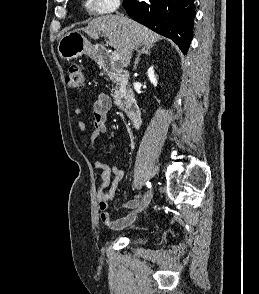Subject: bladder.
Wrapping results in <instances>:
<instances>
[{
    "mask_svg": "<svg viewBox=\"0 0 259 294\" xmlns=\"http://www.w3.org/2000/svg\"><path fill=\"white\" fill-rule=\"evenodd\" d=\"M136 241H138V242L144 241V238H137Z\"/></svg>",
    "mask_w": 259,
    "mask_h": 294,
    "instance_id": "31cf9c89",
    "label": "bladder"
}]
</instances>
